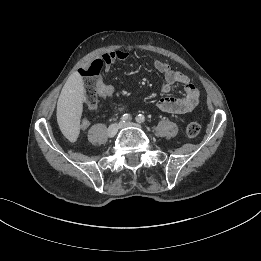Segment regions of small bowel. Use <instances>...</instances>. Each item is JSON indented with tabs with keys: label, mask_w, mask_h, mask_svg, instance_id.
<instances>
[{
	"label": "small bowel",
	"mask_w": 261,
	"mask_h": 261,
	"mask_svg": "<svg viewBox=\"0 0 261 261\" xmlns=\"http://www.w3.org/2000/svg\"><path fill=\"white\" fill-rule=\"evenodd\" d=\"M129 57V53L124 50H114L104 53L99 59L103 63V69L108 72L112 64L116 61H125ZM155 69L164 77L161 86L164 97L157 101V108L161 111L183 114L192 111L198 104L200 92L191 82L190 78L179 71L173 70L165 61L161 59L154 60ZM175 84L183 85V95L181 97H173L167 95ZM113 87L104 82L100 83V96L107 97L113 93ZM123 108H120L122 110ZM90 125L89 120L84 119L81 122V129H86Z\"/></svg>",
	"instance_id": "obj_1"
}]
</instances>
